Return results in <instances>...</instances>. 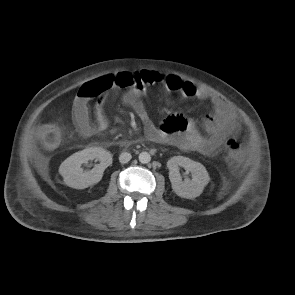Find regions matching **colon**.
<instances>
[{
    "instance_id": "colon-1",
    "label": "colon",
    "mask_w": 295,
    "mask_h": 295,
    "mask_svg": "<svg viewBox=\"0 0 295 295\" xmlns=\"http://www.w3.org/2000/svg\"><path fill=\"white\" fill-rule=\"evenodd\" d=\"M103 84L108 89L113 87L131 88L139 85V80L131 73H120L106 77ZM39 136L43 145L48 149L56 148L62 139V131L55 124H45L39 130ZM227 159L232 164L242 162L246 157L244 146L236 139H229L226 143Z\"/></svg>"
}]
</instances>
